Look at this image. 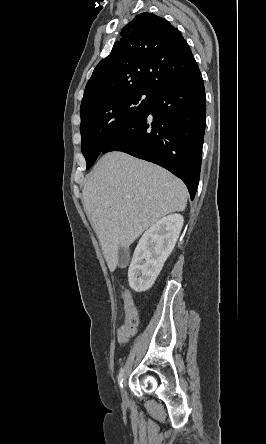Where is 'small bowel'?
I'll return each instance as SVG.
<instances>
[{
  "instance_id": "small-bowel-1",
  "label": "small bowel",
  "mask_w": 266,
  "mask_h": 444,
  "mask_svg": "<svg viewBox=\"0 0 266 444\" xmlns=\"http://www.w3.org/2000/svg\"><path fill=\"white\" fill-rule=\"evenodd\" d=\"M123 302L124 322L117 331V338L120 343H125L137 332L139 317L133 298L129 291L121 292Z\"/></svg>"
}]
</instances>
